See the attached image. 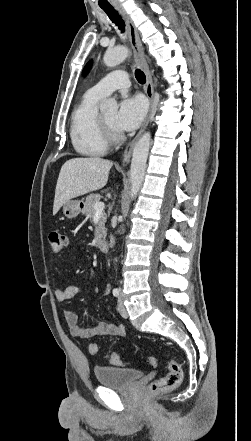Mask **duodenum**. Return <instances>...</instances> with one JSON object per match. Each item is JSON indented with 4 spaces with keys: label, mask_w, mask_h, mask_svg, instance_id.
<instances>
[{
    "label": "duodenum",
    "mask_w": 251,
    "mask_h": 441,
    "mask_svg": "<svg viewBox=\"0 0 251 441\" xmlns=\"http://www.w3.org/2000/svg\"><path fill=\"white\" fill-rule=\"evenodd\" d=\"M98 246H99V249H100L102 252H107V251L109 250V243H108V241L105 240V239L100 240L99 243H98Z\"/></svg>",
    "instance_id": "1"
}]
</instances>
